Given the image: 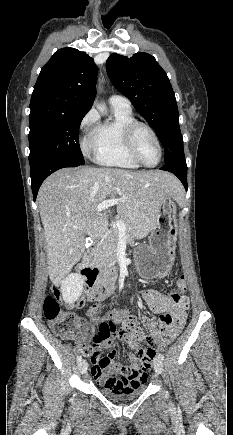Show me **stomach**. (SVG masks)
Listing matches in <instances>:
<instances>
[{
    "label": "stomach",
    "mask_w": 233,
    "mask_h": 435,
    "mask_svg": "<svg viewBox=\"0 0 233 435\" xmlns=\"http://www.w3.org/2000/svg\"><path fill=\"white\" fill-rule=\"evenodd\" d=\"M176 211L175 199L167 198L159 208L156 226L149 236V244L135 249L136 272L140 277L151 280L170 272L178 235Z\"/></svg>",
    "instance_id": "0dacf381"
}]
</instances>
